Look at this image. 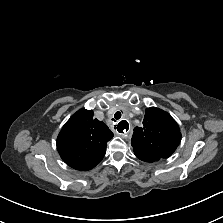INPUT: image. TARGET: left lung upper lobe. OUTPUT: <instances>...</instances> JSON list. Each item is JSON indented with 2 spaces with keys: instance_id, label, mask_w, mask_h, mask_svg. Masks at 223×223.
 I'll use <instances>...</instances> for the list:
<instances>
[{
  "instance_id": "5c2ea615",
  "label": "left lung upper lobe",
  "mask_w": 223,
  "mask_h": 223,
  "mask_svg": "<svg viewBox=\"0 0 223 223\" xmlns=\"http://www.w3.org/2000/svg\"><path fill=\"white\" fill-rule=\"evenodd\" d=\"M181 141L178 124L171 115L159 108L145 111L142 127H135L131 139L134 153L157 159L168 158Z\"/></svg>"
}]
</instances>
